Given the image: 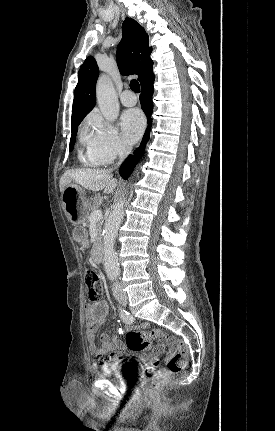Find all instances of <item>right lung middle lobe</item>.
Segmentation results:
<instances>
[{
	"mask_svg": "<svg viewBox=\"0 0 275 431\" xmlns=\"http://www.w3.org/2000/svg\"><path fill=\"white\" fill-rule=\"evenodd\" d=\"M77 128H78V125L72 128V135H71V139H70L69 151H72V149L74 147L75 140H76Z\"/></svg>",
	"mask_w": 275,
	"mask_h": 431,
	"instance_id": "1",
	"label": "right lung middle lobe"
}]
</instances>
